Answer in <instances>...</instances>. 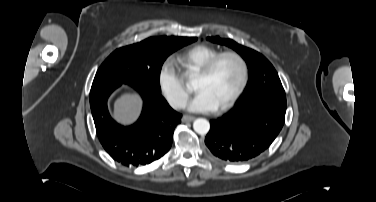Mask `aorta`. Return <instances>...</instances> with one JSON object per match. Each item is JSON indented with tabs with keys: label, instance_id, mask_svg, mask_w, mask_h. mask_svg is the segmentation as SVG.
<instances>
[{
	"label": "aorta",
	"instance_id": "obj_1",
	"mask_svg": "<svg viewBox=\"0 0 376 202\" xmlns=\"http://www.w3.org/2000/svg\"><path fill=\"white\" fill-rule=\"evenodd\" d=\"M193 128L198 134L205 135L210 129V123L204 118H198L194 121Z\"/></svg>",
	"mask_w": 376,
	"mask_h": 202
}]
</instances>
